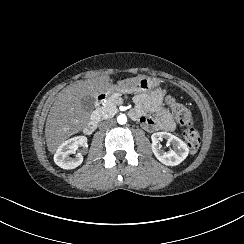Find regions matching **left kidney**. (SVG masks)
<instances>
[{
	"label": "left kidney",
	"instance_id": "1",
	"mask_svg": "<svg viewBox=\"0 0 244 244\" xmlns=\"http://www.w3.org/2000/svg\"><path fill=\"white\" fill-rule=\"evenodd\" d=\"M166 139L173 145V150L164 152L161 149L160 141ZM152 151L157 160L165 166H178L181 164L188 156L189 149L188 146L178 137L168 133V132H157L152 135Z\"/></svg>",
	"mask_w": 244,
	"mask_h": 244
}]
</instances>
